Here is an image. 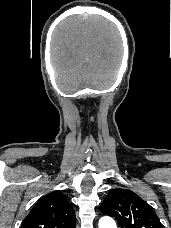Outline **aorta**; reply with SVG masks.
Here are the masks:
<instances>
[{
    "label": "aorta",
    "mask_w": 171,
    "mask_h": 228,
    "mask_svg": "<svg viewBox=\"0 0 171 228\" xmlns=\"http://www.w3.org/2000/svg\"><path fill=\"white\" fill-rule=\"evenodd\" d=\"M99 228H117V226L112 218L102 217L99 221Z\"/></svg>",
    "instance_id": "1"
}]
</instances>
